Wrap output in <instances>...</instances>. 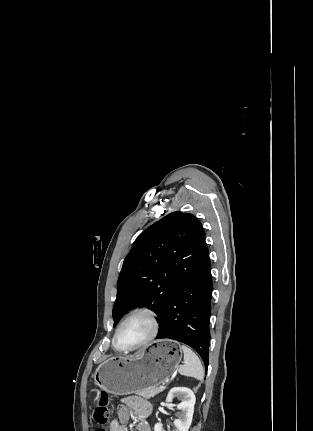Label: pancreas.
<instances>
[{
	"mask_svg": "<svg viewBox=\"0 0 313 431\" xmlns=\"http://www.w3.org/2000/svg\"><path fill=\"white\" fill-rule=\"evenodd\" d=\"M163 389L157 388V387H149L146 388L144 390L139 391L137 394H139L140 396L144 397V398H152L155 395H157L158 393H160Z\"/></svg>",
	"mask_w": 313,
	"mask_h": 431,
	"instance_id": "cf45deb5",
	"label": "pancreas"
}]
</instances>
